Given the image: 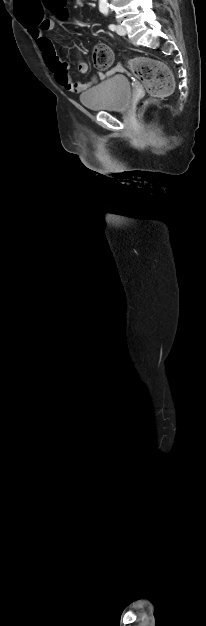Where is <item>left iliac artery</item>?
<instances>
[{
	"mask_svg": "<svg viewBox=\"0 0 206 626\" xmlns=\"http://www.w3.org/2000/svg\"><path fill=\"white\" fill-rule=\"evenodd\" d=\"M103 13H104L105 15H107V14H108V12H107V11H104ZM109 29H110V30H112V31H115V30H116V26H115L114 24H110V25H109Z\"/></svg>",
	"mask_w": 206,
	"mask_h": 626,
	"instance_id": "1",
	"label": "left iliac artery"
}]
</instances>
